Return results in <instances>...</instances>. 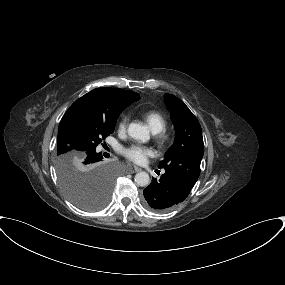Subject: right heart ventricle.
I'll use <instances>...</instances> for the list:
<instances>
[{
  "label": "right heart ventricle",
  "mask_w": 285,
  "mask_h": 285,
  "mask_svg": "<svg viewBox=\"0 0 285 285\" xmlns=\"http://www.w3.org/2000/svg\"><path fill=\"white\" fill-rule=\"evenodd\" d=\"M145 119L153 132L163 131L167 125L165 117L157 111L146 112Z\"/></svg>",
  "instance_id": "right-heart-ventricle-1"
}]
</instances>
